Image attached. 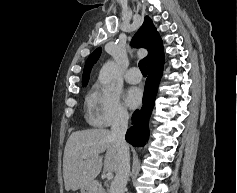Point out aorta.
Here are the masks:
<instances>
[{
	"label": "aorta",
	"instance_id": "obj_1",
	"mask_svg": "<svg viewBox=\"0 0 237 193\" xmlns=\"http://www.w3.org/2000/svg\"><path fill=\"white\" fill-rule=\"evenodd\" d=\"M116 65L113 61H108L105 63L99 73L100 83L106 85L112 81L116 74Z\"/></svg>",
	"mask_w": 237,
	"mask_h": 193
}]
</instances>
